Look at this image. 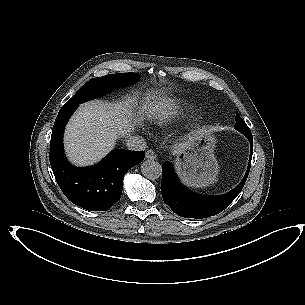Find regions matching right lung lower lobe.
<instances>
[{
	"label": "right lung lower lobe",
	"instance_id": "obj_1",
	"mask_svg": "<svg viewBox=\"0 0 305 305\" xmlns=\"http://www.w3.org/2000/svg\"><path fill=\"white\" fill-rule=\"evenodd\" d=\"M75 109L64 105L57 115L50 142L51 168L59 187L72 203L89 211H107L120 199L124 174L140 163L145 154L118 149L94 166H72L64 155L63 132Z\"/></svg>",
	"mask_w": 305,
	"mask_h": 305
}]
</instances>
